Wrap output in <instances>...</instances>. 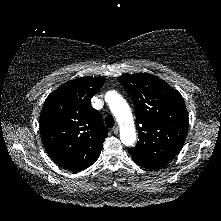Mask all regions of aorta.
<instances>
[{
    "mask_svg": "<svg viewBox=\"0 0 221 221\" xmlns=\"http://www.w3.org/2000/svg\"><path fill=\"white\" fill-rule=\"evenodd\" d=\"M112 114L120 126V139L123 144L132 146L136 141L133 115L126 100L115 91L106 94Z\"/></svg>",
    "mask_w": 221,
    "mask_h": 221,
    "instance_id": "obj_1",
    "label": "aorta"
}]
</instances>
